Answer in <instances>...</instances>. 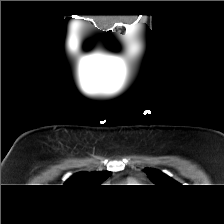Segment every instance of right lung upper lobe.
<instances>
[{"label":"right lung upper lobe","instance_id":"right-lung-upper-lobe-1","mask_svg":"<svg viewBox=\"0 0 224 224\" xmlns=\"http://www.w3.org/2000/svg\"><path fill=\"white\" fill-rule=\"evenodd\" d=\"M111 172H80L70 177L65 185L71 187H90L100 185L105 181Z\"/></svg>","mask_w":224,"mask_h":224}]
</instances>
